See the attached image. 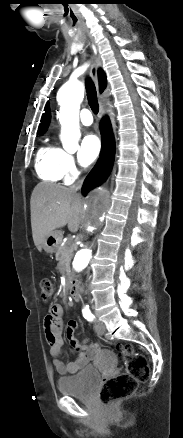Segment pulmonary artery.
<instances>
[{"instance_id": "obj_1", "label": "pulmonary artery", "mask_w": 183, "mask_h": 438, "mask_svg": "<svg viewBox=\"0 0 183 438\" xmlns=\"http://www.w3.org/2000/svg\"><path fill=\"white\" fill-rule=\"evenodd\" d=\"M80 120H81L82 124H84L86 126L91 125L93 122V117H92L91 111L87 108L82 109L80 112Z\"/></svg>"}]
</instances>
